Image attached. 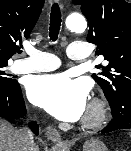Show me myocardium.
Wrapping results in <instances>:
<instances>
[{
	"instance_id": "1",
	"label": "myocardium",
	"mask_w": 131,
	"mask_h": 151,
	"mask_svg": "<svg viewBox=\"0 0 131 151\" xmlns=\"http://www.w3.org/2000/svg\"><path fill=\"white\" fill-rule=\"evenodd\" d=\"M107 117L108 108L106 102L95 97L90 101L81 124L83 127L88 129L98 128L106 122Z\"/></svg>"
}]
</instances>
